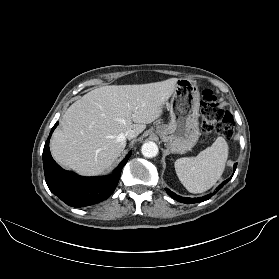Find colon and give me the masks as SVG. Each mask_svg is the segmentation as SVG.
<instances>
[{
  "label": "colon",
  "mask_w": 279,
  "mask_h": 279,
  "mask_svg": "<svg viewBox=\"0 0 279 279\" xmlns=\"http://www.w3.org/2000/svg\"><path fill=\"white\" fill-rule=\"evenodd\" d=\"M201 126L207 133L215 131L227 138L233 135L232 115L220 107L217 98L210 90H205L202 95Z\"/></svg>",
  "instance_id": "obj_1"
}]
</instances>
